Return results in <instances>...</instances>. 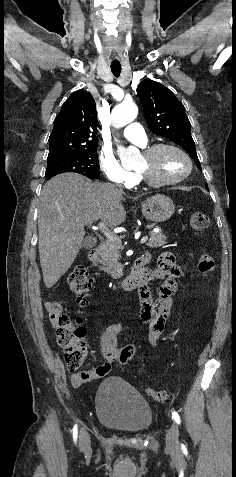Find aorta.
Returning <instances> with one entry per match:
<instances>
[{"instance_id":"aorta-1","label":"aorta","mask_w":236,"mask_h":477,"mask_svg":"<svg viewBox=\"0 0 236 477\" xmlns=\"http://www.w3.org/2000/svg\"><path fill=\"white\" fill-rule=\"evenodd\" d=\"M138 114V107L135 103H121L117 105L112 113L113 124L117 128H121L130 122H132ZM138 154V150L135 147H123L119 146L118 155L123 163L130 160L132 157Z\"/></svg>"}]
</instances>
